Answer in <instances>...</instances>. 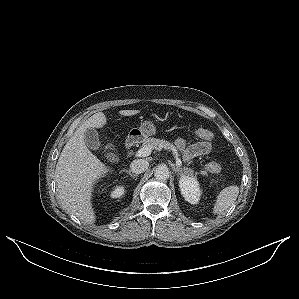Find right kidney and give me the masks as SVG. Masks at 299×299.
Wrapping results in <instances>:
<instances>
[{
	"label": "right kidney",
	"mask_w": 299,
	"mask_h": 299,
	"mask_svg": "<svg viewBox=\"0 0 299 299\" xmlns=\"http://www.w3.org/2000/svg\"><path fill=\"white\" fill-rule=\"evenodd\" d=\"M124 187L123 186H117L115 189H113L110 193L111 198H120L124 194Z\"/></svg>",
	"instance_id": "ca27d5eb"
}]
</instances>
